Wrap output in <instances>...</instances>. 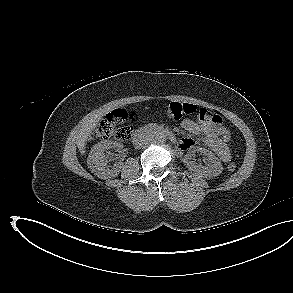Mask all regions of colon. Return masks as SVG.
Listing matches in <instances>:
<instances>
[{"mask_svg": "<svg viewBox=\"0 0 293 293\" xmlns=\"http://www.w3.org/2000/svg\"><path fill=\"white\" fill-rule=\"evenodd\" d=\"M165 113L173 118L180 119L187 115H196L200 120L212 122L222 129V138L226 141L230 139L229 133L222 125V118L215 112H210L204 108H198L194 104L171 102L166 108ZM135 115L123 109H116L108 113L96 126L93 136L99 139L126 140L132 132V123ZM237 164L231 162L228 164V170L234 171Z\"/></svg>", "mask_w": 293, "mask_h": 293, "instance_id": "1", "label": "colon"}]
</instances>
